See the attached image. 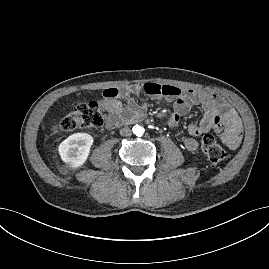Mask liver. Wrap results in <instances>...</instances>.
I'll list each match as a JSON object with an SVG mask.
<instances>
[{"mask_svg":"<svg viewBox=\"0 0 269 269\" xmlns=\"http://www.w3.org/2000/svg\"><path fill=\"white\" fill-rule=\"evenodd\" d=\"M57 130H58V126H57V125H54V126L52 127V131L56 132Z\"/></svg>","mask_w":269,"mask_h":269,"instance_id":"1","label":"liver"}]
</instances>
